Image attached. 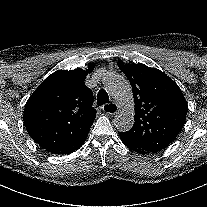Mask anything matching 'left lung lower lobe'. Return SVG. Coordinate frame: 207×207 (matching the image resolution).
Segmentation results:
<instances>
[{
    "label": "left lung lower lobe",
    "mask_w": 207,
    "mask_h": 207,
    "mask_svg": "<svg viewBox=\"0 0 207 207\" xmlns=\"http://www.w3.org/2000/svg\"><path fill=\"white\" fill-rule=\"evenodd\" d=\"M120 139L122 140V142L127 146L126 140L120 136ZM135 152L139 153V154H149L150 152H146V151H142V150H135Z\"/></svg>",
    "instance_id": "left-lung-lower-lobe-1"
}]
</instances>
